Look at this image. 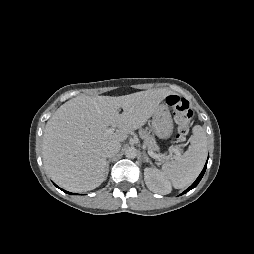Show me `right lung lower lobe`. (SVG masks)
Instances as JSON below:
<instances>
[{
    "label": "right lung lower lobe",
    "mask_w": 254,
    "mask_h": 254,
    "mask_svg": "<svg viewBox=\"0 0 254 254\" xmlns=\"http://www.w3.org/2000/svg\"><path fill=\"white\" fill-rule=\"evenodd\" d=\"M55 185V184H54ZM56 186V185H55ZM57 187V186H56ZM62 191H64L65 193H68V194H72V193H70V192H68V191H65V190H62Z\"/></svg>",
    "instance_id": "right-lung-lower-lobe-1"
}]
</instances>
